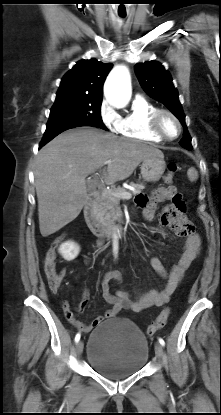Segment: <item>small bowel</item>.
<instances>
[{
    "label": "small bowel",
    "instance_id": "small-bowel-1",
    "mask_svg": "<svg viewBox=\"0 0 221 415\" xmlns=\"http://www.w3.org/2000/svg\"><path fill=\"white\" fill-rule=\"evenodd\" d=\"M163 201H170V203L164 209L160 224L163 226L170 225L177 235H187L181 257L178 262L172 265L170 271L165 269V266L159 258L152 257L150 259L152 268L165 280V287L160 291L149 290L136 292L134 296L122 290L111 293L110 283H121L122 276L118 271H110L103 276L101 283L102 296L105 302L111 306L110 309L106 310L102 316L96 317L91 324L86 325L72 317L69 306L65 303L64 310L66 317L73 325L82 329L84 332H88L93 327L98 326L105 318H113L122 310L140 312L151 306H162L170 300L186 271L199 255L202 243L200 236L194 233V225L187 220L188 212L185 210L184 201L174 186L159 187L150 196L139 194L135 199L136 205L143 208V217L147 221H151L154 218L157 204ZM101 244L102 241H99L98 245ZM87 304L88 292L85 291L84 300L78 307V311H84Z\"/></svg>",
    "mask_w": 221,
    "mask_h": 415
}]
</instances>
